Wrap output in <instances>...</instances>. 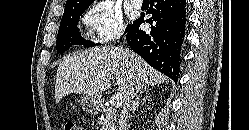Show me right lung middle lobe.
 Segmentation results:
<instances>
[{
	"mask_svg": "<svg viewBox=\"0 0 249 130\" xmlns=\"http://www.w3.org/2000/svg\"><path fill=\"white\" fill-rule=\"evenodd\" d=\"M80 7L73 8L65 6V11L61 19L58 35H57V53H63L68 50L73 45H84V46H95L94 43L89 42L81 38L79 30L77 29V24L79 17L88 8ZM130 25L127 27L128 31Z\"/></svg>",
	"mask_w": 249,
	"mask_h": 130,
	"instance_id": "dd1d6c3e",
	"label": "right lung middle lobe"
}]
</instances>
